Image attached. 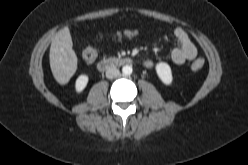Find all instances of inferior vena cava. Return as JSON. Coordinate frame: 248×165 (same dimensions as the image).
<instances>
[{
  "mask_svg": "<svg viewBox=\"0 0 248 165\" xmlns=\"http://www.w3.org/2000/svg\"><path fill=\"white\" fill-rule=\"evenodd\" d=\"M120 75V71L116 67H109L106 70V77L108 79L116 78Z\"/></svg>",
  "mask_w": 248,
  "mask_h": 165,
  "instance_id": "obj_1",
  "label": "inferior vena cava"
}]
</instances>
